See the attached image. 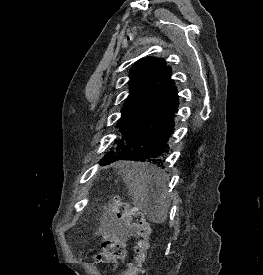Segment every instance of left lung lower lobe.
Here are the masks:
<instances>
[{"label":"left lung lower lobe","instance_id":"1","mask_svg":"<svg viewBox=\"0 0 263 275\" xmlns=\"http://www.w3.org/2000/svg\"><path fill=\"white\" fill-rule=\"evenodd\" d=\"M178 99V90L168 68L157 86L120 126L119 139L100 163L108 165L118 160H128L142 161L149 167L162 164L168 153L169 136L174 130Z\"/></svg>","mask_w":263,"mask_h":275}]
</instances>
